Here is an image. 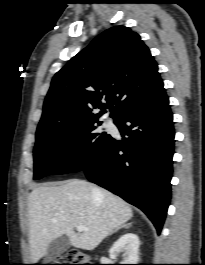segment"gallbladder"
Returning a JSON list of instances; mask_svg holds the SVG:
<instances>
[{
	"label": "gallbladder",
	"instance_id": "bac80fb5",
	"mask_svg": "<svg viewBox=\"0 0 205 265\" xmlns=\"http://www.w3.org/2000/svg\"><path fill=\"white\" fill-rule=\"evenodd\" d=\"M70 246L71 243L66 237H58L52 240L47 247L46 253L44 255V261H53L56 257H59L61 254L66 252Z\"/></svg>",
	"mask_w": 205,
	"mask_h": 265
}]
</instances>
